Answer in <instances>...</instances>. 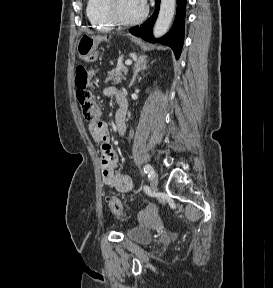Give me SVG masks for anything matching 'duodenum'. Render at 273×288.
<instances>
[{"label": "duodenum", "instance_id": "obj_1", "mask_svg": "<svg viewBox=\"0 0 273 288\" xmlns=\"http://www.w3.org/2000/svg\"><path fill=\"white\" fill-rule=\"evenodd\" d=\"M119 106H120L119 119H125L128 103H127V100L124 96H122L120 98Z\"/></svg>", "mask_w": 273, "mask_h": 288}]
</instances>
